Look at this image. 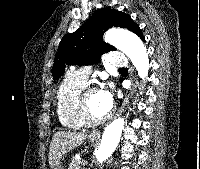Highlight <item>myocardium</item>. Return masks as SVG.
I'll return each mask as SVG.
<instances>
[{"label": "myocardium", "instance_id": "obj_1", "mask_svg": "<svg viewBox=\"0 0 200 169\" xmlns=\"http://www.w3.org/2000/svg\"><path fill=\"white\" fill-rule=\"evenodd\" d=\"M94 91H98V88L94 86L85 87L79 93L78 99H77L80 119L83 125L87 127H95V126L101 125L105 123L113 114V110L110 109V111L103 118H100L97 120H94L91 118L89 114L88 106H87V96Z\"/></svg>", "mask_w": 200, "mask_h": 169}]
</instances>
